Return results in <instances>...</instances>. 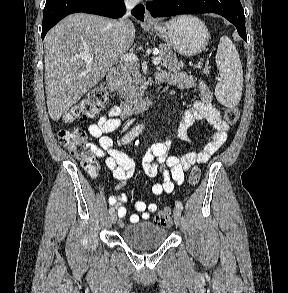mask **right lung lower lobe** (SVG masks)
<instances>
[{
  "label": "right lung lower lobe",
  "instance_id": "right-lung-lower-lobe-1",
  "mask_svg": "<svg viewBox=\"0 0 288 293\" xmlns=\"http://www.w3.org/2000/svg\"><path fill=\"white\" fill-rule=\"evenodd\" d=\"M76 12L119 18L125 13V4L124 0H47L43 11L42 39L62 18ZM132 14L143 21L144 6L137 5Z\"/></svg>",
  "mask_w": 288,
  "mask_h": 293
}]
</instances>
